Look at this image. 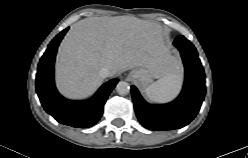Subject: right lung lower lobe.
Returning a JSON list of instances; mask_svg holds the SVG:
<instances>
[{"label":"right lung lower lobe","instance_id":"98d812e1","mask_svg":"<svg viewBox=\"0 0 248 158\" xmlns=\"http://www.w3.org/2000/svg\"><path fill=\"white\" fill-rule=\"evenodd\" d=\"M68 28L60 32L48 45L40 59L36 75V92L45 111L59 123L72 127L87 128L101 118L104 104L118 83L112 79L100 87L89 101H71L62 97L54 84V61L60 41Z\"/></svg>","mask_w":248,"mask_h":158}]
</instances>
